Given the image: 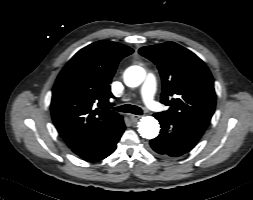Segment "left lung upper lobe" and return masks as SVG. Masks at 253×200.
<instances>
[{"instance_id":"obj_1","label":"left lung upper lobe","mask_w":253,"mask_h":200,"mask_svg":"<svg viewBox=\"0 0 253 200\" xmlns=\"http://www.w3.org/2000/svg\"><path fill=\"white\" fill-rule=\"evenodd\" d=\"M139 53L160 71L163 113L207 127L215 110L213 77L205 63L191 51L174 43L142 47Z\"/></svg>"}]
</instances>
